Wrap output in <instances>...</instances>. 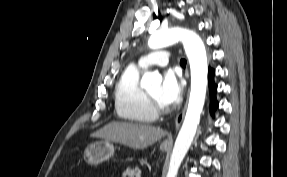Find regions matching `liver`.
I'll list each match as a JSON object with an SVG mask.
<instances>
[{
    "label": "liver",
    "mask_w": 287,
    "mask_h": 177,
    "mask_svg": "<svg viewBox=\"0 0 287 177\" xmlns=\"http://www.w3.org/2000/svg\"><path fill=\"white\" fill-rule=\"evenodd\" d=\"M166 132L146 124L111 122L92 134V137L123 144L139 150L160 140Z\"/></svg>",
    "instance_id": "obj_1"
}]
</instances>
